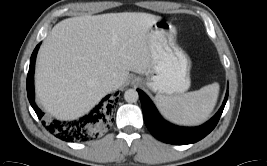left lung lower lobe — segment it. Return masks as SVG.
Returning a JSON list of instances; mask_svg holds the SVG:
<instances>
[{"label": "left lung lower lobe", "mask_w": 267, "mask_h": 166, "mask_svg": "<svg viewBox=\"0 0 267 166\" xmlns=\"http://www.w3.org/2000/svg\"><path fill=\"white\" fill-rule=\"evenodd\" d=\"M142 105L144 122L154 137L165 143L186 145L195 143L208 135L217 125L228 98V91L220 110L205 124L198 127H180L165 121L158 113L150 98L137 90Z\"/></svg>", "instance_id": "obj_1"}]
</instances>
